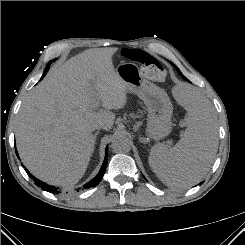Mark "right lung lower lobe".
Returning <instances> with one entry per match:
<instances>
[{"instance_id":"1","label":"right lung lower lobe","mask_w":245,"mask_h":245,"mask_svg":"<svg viewBox=\"0 0 245 245\" xmlns=\"http://www.w3.org/2000/svg\"><path fill=\"white\" fill-rule=\"evenodd\" d=\"M51 62H49L50 64ZM49 64L47 65L46 69L44 70V73L41 77V79L46 75L48 69H49ZM17 156H18V153H17ZM107 161H108V146L106 148V151H105V159H104V162H103V165L99 171V173L97 174V176L95 178H93L90 182H88L87 184H85L83 187L84 188H90V187H95L96 185H98L100 183V181L102 180L103 178V175L106 171V167H107ZM27 173L29 175H31L28 170H27ZM34 181L36 182L37 185L41 186L43 188V190H46V191H52V192H55V193H59L58 189L54 186H50L48 184H45L44 182L38 180L37 178L33 177Z\"/></svg>"}]
</instances>
